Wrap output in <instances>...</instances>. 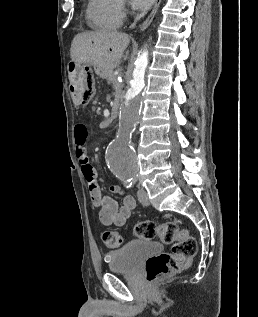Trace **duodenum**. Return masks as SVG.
<instances>
[{"mask_svg":"<svg viewBox=\"0 0 258 317\" xmlns=\"http://www.w3.org/2000/svg\"><path fill=\"white\" fill-rule=\"evenodd\" d=\"M67 73L71 90H77L80 85L81 69L75 65H69Z\"/></svg>","mask_w":258,"mask_h":317,"instance_id":"1","label":"duodenum"}]
</instances>
